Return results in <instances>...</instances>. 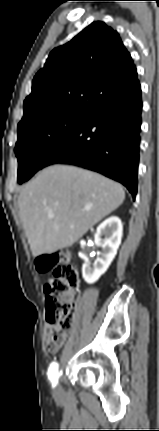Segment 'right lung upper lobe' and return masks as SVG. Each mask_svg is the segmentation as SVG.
Returning <instances> with one entry per match:
<instances>
[{
	"instance_id": "obj_1",
	"label": "right lung upper lobe",
	"mask_w": 159,
	"mask_h": 431,
	"mask_svg": "<svg viewBox=\"0 0 159 431\" xmlns=\"http://www.w3.org/2000/svg\"><path fill=\"white\" fill-rule=\"evenodd\" d=\"M137 82L136 67L119 34L93 22L50 53L33 79L18 129L60 112L89 114Z\"/></svg>"
}]
</instances>
